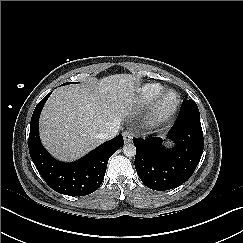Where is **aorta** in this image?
I'll return each mask as SVG.
<instances>
[{"instance_id": "obj_1", "label": "aorta", "mask_w": 243, "mask_h": 243, "mask_svg": "<svg viewBox=\"0 0 243 243\" xmlns=\"http://www.w3.org/2000/svg\"><path fill=\"white\" fill-rule=\"evenodd\" d=\"M123 153L127 157H133L136 154V147L134 144L129 143L123 146Z\"/></svg>"}]
</instances>
